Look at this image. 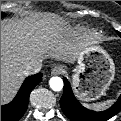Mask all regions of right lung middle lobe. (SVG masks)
Listing matches in <instances>:
<instances>
[{
    "label": "right lung middle lobe",
    "instance_id": "obj_1",
    "mask_svg": "<svg viewBox=\"0 0 121 121\" xmlns=\"http://www.w3.org/2000/svg\"><path fill=\"white\" fill-rule=\"evenodd\" d=\"M5 15H6L5 13L1 12V18L4 17Z\"/></svg>",
    "mask_w": 121,
    "mask_h": 121
}]
</instances>
